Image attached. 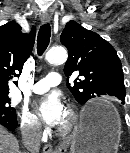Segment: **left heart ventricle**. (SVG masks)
Instances as JSON below:
<instances>
[{"instance_id": "b2bd125f", "label": "left heart ventricle", "mask_w": 130, "mask_h": 153, "mask_svg": "<svg viewBox=\"0 0 130 153\" xmlns=\"http://www.w3.org/2000/svg\"><path fill=\"white\" fill-rule=\"evenodd\" d=\"M65 118H66V113H65V115H64V117H63V119H62L60 124H62L65 121Z\"/></svg>"}]
</instances>
